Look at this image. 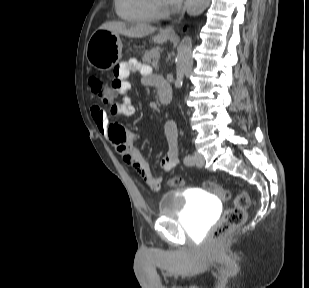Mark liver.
Instances as JSON below:
<instances>
[{"label": "liver", "mask_w": 309, "mask_h": 288, "mask_svg": "<svg viewBox=\"0 0 309 288\" xmlns=\"http://www.w3.org/2000/svg\"><path fill=\"white\" fill-rule=\"evenodd\" d=\"M100 29H106L115 34H121L132 38H142L156 31L155 27L147 24H127L120 21L106 22L100 26Z\"/></svg>", "instance_id": "6515ba94"}]
</instances>
